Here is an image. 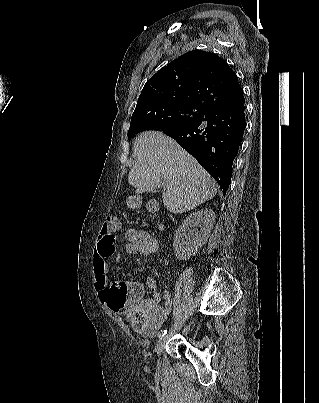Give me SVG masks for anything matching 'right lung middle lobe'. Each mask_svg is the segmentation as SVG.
Masks as SVG:
<instances>
[{
  "mask_svg": "<svg viewBox=\"0 0 319 403\" xmlns=\"http://www.w3.org/2000/svg\"><path fill=\"white\" fill-rule=\"evenodd\" d=\"M208 111L196 105L163 103L151 105L132 116L128 139L150 129L189 125L201 120Z\"/></svg>",
  "mask_w": 319,
  "mask_h": 403,
  "instance_id": "1",
  "label": "right lung middle lobe"
}]
</instances>
